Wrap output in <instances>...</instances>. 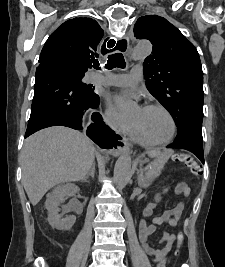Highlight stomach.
I'll return each instance as SVG.
<instances>
[{
  "label": "stomach",
  "instance_id": "obj_1",
  "mask_svg": "<svg viewBox=\"0 0 225 267\" xmlns=\"http://www.w3.org/2000/svg\"><path fill=\"white\" fill-rule=\"evenodd\" d=\"M158 159H163V160H166V158H165V157H163V156H159V157H158Z\"/></svg>",
  "mask_w": 225,
  "mask_h": 267
}]
</instances>
